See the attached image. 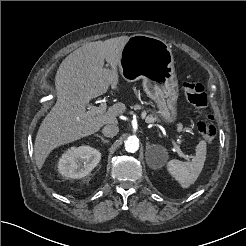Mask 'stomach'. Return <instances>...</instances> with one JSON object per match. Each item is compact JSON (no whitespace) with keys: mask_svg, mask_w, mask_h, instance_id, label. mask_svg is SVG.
I'll return each instance as SVG.
<instances>
[{"mask_svg":"<svg viewBox=\"0 0 246 246\" xmlns=\"http://www.w3.org/2000/svg\"><path fill=\"white\" fill-rule=\"evenodd\" d=\"M119 70L129 82L142 79L143 90L164 121L175 122L179 88L172 50L165 41L144 34L130 36L121 51Z\"/></svg>","mask_w":246,"mask_h":246,"instance_id":"1","label":"stomach"}]
</instances>
